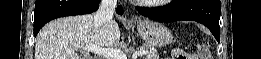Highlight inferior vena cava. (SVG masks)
<instances>
[{
    "label": "inferior vena cava",
    "mask_w": 261,
    "mask_h": 59,
    "mask_svg": "<svg viewBox=\"0 0 261 59\" xmlns=\"http://www.w3.org/2000/svg\"><path fill=\"white\" fill-rule=\"evenodd\" d=\"M117 6V0H101L96 13L94 14V26L100 27L111 21Z\"/></svg>",
    "instance_id": "inferior-vena-cava-1"
}]
</instances>
